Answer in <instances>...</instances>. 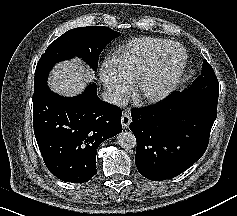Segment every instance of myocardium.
I'll return each mask as SVG.
<instances>
[{
    "label": "myocardium",
    "mask_w": 237,
    "mask_h": 216,
    "mask_svg": "<svg viewBox=\"0 0 237 216\" xmlns=\"http://www.w3.org/2000/svg\"><path fill=\"white\" fill-rule=\"evenodd\" d=\"M177 49L179 50L182 56V63L175 79L155 93L150 94L144 93L143 85L145 79L151 74L155 65L158 63L159 58L168 56L176 52ZM186 63H187L186 50L180 44L177 45L175 41H173L171 44H166L164 47H161L157 52H155V55L153 54L152 58L149 60L146 66L142 67V71L138 75L132 90V98L140 102L139 107L144 108L149 104L157 103L163 100L164 98L168 97L169 95H171L173 92H175L182 81L186 68Z\"/></svg>",
    "instance_id": "obj_1"
}]
</instances>
